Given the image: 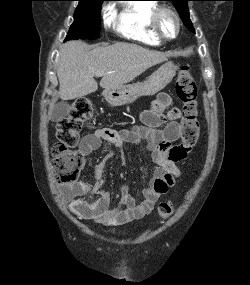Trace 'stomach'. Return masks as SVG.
Wrapping results in <instances>:
<instances>
[{
  "label": "stomach",
  "instance_id": "1",
  "mask_svg": "<svg viewBox=\"0 0 250 285\" xmlns=\"http://www.w3.org/2000/svg\"><path fill=\"white\" fill-rule=\"evenodd\" d=\"M176 69L172 62H166L144 82L124 84L116 89L104 90V98L112 106H122L134 102L141 96H152L171 82Z\"/></svg>",
  "mask_w": 250,
  "mask_h": 285
}]
</instances>
